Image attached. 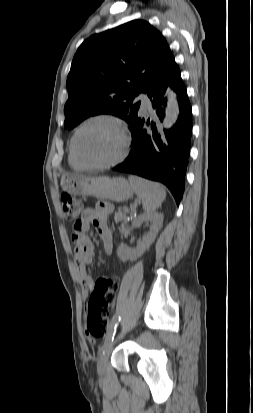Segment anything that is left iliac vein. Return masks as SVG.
Masks as SVG:
<instances>
[{
  "instance_id": "1",
  "label": "left iliac vein",
  "mask_w": 253,
  "mask_h": 413,
  "mask_svg": "<svg viewBox=\"0 0 253 413\" xmlns=\"http://www.w3.org/2000/svg\"><path fill=\"white\" fill-rule=\"evenodd\" d=\"M122 336V333L118 334L117 339H120ZM112 351V345L104 347L102 353L99 356L98 363H97V371L100 375H102L105 372L106 365L110 356V353Z\"/></svg>"
}]
</instances>
